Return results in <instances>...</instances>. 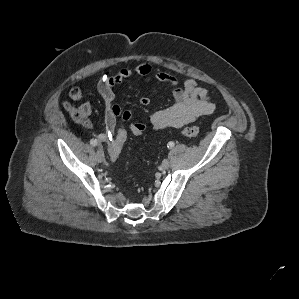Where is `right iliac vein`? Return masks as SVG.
I'll return each mask as SVG.
<instances>
[{"mask_svg": "<svg viewBox=\"0 0 299 299\" xmlns=\"http://www.w3.org/2000/svg\"><path fill=\"white\" fill-rule=\"evenodd\" d=\"M96 157H97V160H98L99 162H103V160H104V152L102 151L101 148H99V149L97 150Z\"/></svg>", "mask_w": 299, "mask_h": 299, "instance_id": "1", "label": "right iliac vein"}]
</instances>
